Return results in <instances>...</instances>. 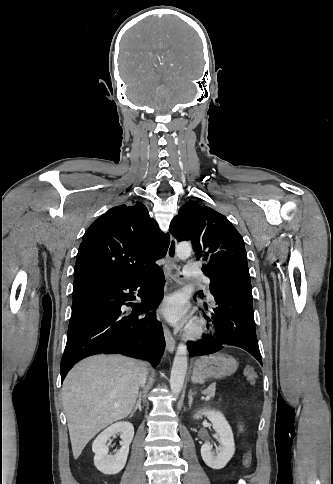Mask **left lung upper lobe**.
<instances>
[{
    "instance_id": "left-lung-upper-lobe-1",
    "label": "left lung upper lobe",
    "mask_w": 333,
    "mask_h": 484,
    "mask_svg": "<svg viewBox=\"0 0 333 484\" xmlns=\"http://www.w3.org/2000/svg\"><path fill=\"white\" fill-rule=\"evenodd\" d=\"M170 232L178 241L192 242L197 259L206 261L202 268L206 276L227 256L247 261L243 238L235 227L224 215L198 202L188 201L180 208L171 221ZM212 289L210 286L211 294Z\"/></svg>"
}]
</instances>
